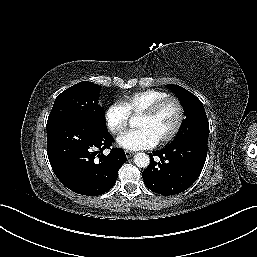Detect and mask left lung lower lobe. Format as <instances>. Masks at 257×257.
Wrapping results in <instances>:
<instances>
[{
	"label": "left lung lower lobe",
	"mask_w": 257,
	"mask_h": 257,
	"mask_svg": "<svg viewBox=\"0 0 257 257\" xmlns=\"http://www.w3.org/2000/svg\"><path fill=\"white\" fill-rule=\"evenodd\" d=\"M150 164L143 171L145 185L161 195H175L188 189L199 177L207 156V143L184 141L169 144L150 153ZM153 156L161 161L155 162Z\"/></svg>",
	"instance_id": "obj_1"
}]
</instances>
